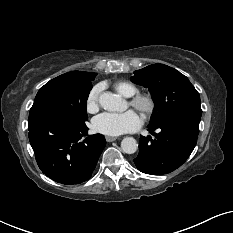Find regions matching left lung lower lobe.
<instances>
[{
    "label": "left lung lower lobe",
    "mask_w": 233,
    "mask_h": 233,
    "mask_svg": "<svg viewBox=\"0 0 233 233\" xmlns=\"http://www.w3.org/2000/svg\"><path fill=\"white\" fill-rule=\"evenodd\" d=\"M200 119L198 114L181 113L150 123L152 136L141 137L139 154L134 159L136 167L152 175L166 174L180 167L196 145Z\"/></svg>",
    "instance_id": "obj_1"
}]
</instances>
